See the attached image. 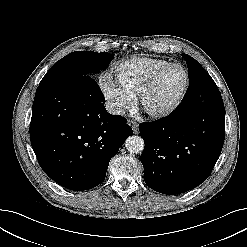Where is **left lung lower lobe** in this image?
I'll list each match as a JSON object with an SVG mask.
<instances>
[{
	"mask_svg": "<svg viewBox=\"0 0 247 247\" xmlns=\"http://www.w3.org/2000/svg\"><path fill=\"white\" fill-rule=\"evenodd\" d=\"M195 100L182 101L167 117L141 123L144 180L175 195L203 183L217 162L225 137V109L213 79L192 85Z\"/></svg>",
	"mask_w": 247,
	"mask_h": 247,
	"instance_id": "obj_1",
	"label": "left lung lower lobe"
}]
</instances>
